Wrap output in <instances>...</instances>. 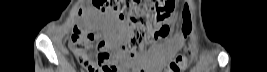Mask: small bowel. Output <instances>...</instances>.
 Segmentation results:
<instances>
[{"instance_id": "small-bowel-1", "label": "small bowel", "mask_w": 267, "mask_h": 72, "mask_svg": "<svg viewBox=\"0 0 267 72\" xmlns=\"http://www.w3.org/2000/svg\"><path fill=\"white\" fill-rule=\"evenodd\" d=\"M175 21L174 16L170 17L167 21V25H172ZM108 26H113L114 22L111 18H107L104 22ZM123 41V38H117L116 44H119ZM71 49L75 53L77 59L80 64H82L80 60L79 54L76 52L75 46L70 42ZM181 46V38L176 40L167 41L165 45L155 44L151 46L148 50H144L135 54L126 55L122 51L117 52V56L127 62L129 66L134 71L141 72H161L166 70L167 67L171 66L173 63V58ZM83 67L92 72L91 68L87 65L83 64Z\"/></svg>"}]
</instances>
